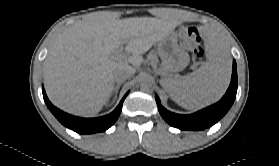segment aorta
Masks as SVG:
<instances>
[{
  "label": "aorta",
  "mask_w": 279,
  "mask_h": 166,
  "mask_svg": "<svg viewBox=\"0 0 279 166\" xmlns=\"http://www.w3.org/2000/svg\"><path fill=\"white\" fill-rule=\"evenodd\" d=\"M153 82L148 77L142 79L140 83V89L144 92H152L153 91Z\"/></svg>",
  "instance_id": "762f6f07"
}]
</instances>
